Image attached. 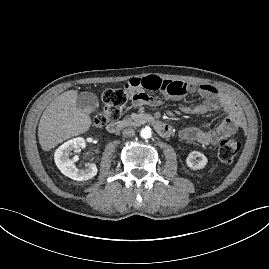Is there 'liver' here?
Returning a JSON list of instances; mask_svg holds the SVG:
<instances>
[{
    "mask_svg": "<svg viewBox=\"0 0 269 269\" xmlns=\"http://www.w3.org/2000/svg\"><path fill=\"white\" fill-rule=\"evenodd\" d=\"M77 97L76 90H68L46 107L38 126V139L44 151L89 130L91 118L76 106Z\"/></svg>",
    "mask_w": 269,
    "mask_h": 269,
    "instance_id": "6515ba94",
    "label": "liver"
}]
</instances>
